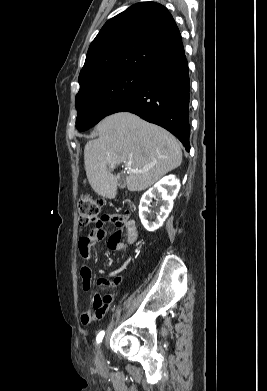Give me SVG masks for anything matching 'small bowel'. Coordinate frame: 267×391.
<instances>
[{
    "instance_id": "obj_1",
    "label": "small bowel",
    "mask_w": 267,
    "mask_h": 391,
    "mask_svg": "<svg viewBox=\"0 0 267 391\" xmlns=\"http://www.w3.org/2000/svg\"><path fill=\"white\" fill-rule=\"evenodd\" d=\"M112 223L115 224L119 230L112 233L108 239V248L111 250H126L129 245H133L138 238V232L136 223L133 220H125L123 223L118 221V215L115 214H105L101 217L99 223L96 224V228L91 231L87 236L91 240V247L88 253L83 254L80 251V254L84 260H88L91 254V250L94 244L101 240L105 236V231L103 226L105 224ZM124 229L126 232L127 244L121 242V230ZM81 277L83 281V288L89 290L93 284L91 271L87 266H83L81 269ZM120 276L116 275L112 280L106 278H100L97 280L98 285L115 287L120 282ZM115 294L108 293L104 296H101L98 293H95L92 300V306L89 310L85 311L81 316V321L84 324L90 323L94 320L100 319L105 312L108 310L110 304L112 303Z\"/></svg>"
}]
</instances>
